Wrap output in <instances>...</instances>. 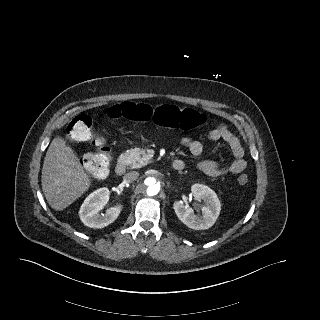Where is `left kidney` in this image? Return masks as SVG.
I'll list each match as a JSON object with an SVG mask.
<instances>
[{"instance_id":"obj_1","label":"left kidney","mask_w":320,"mask_h":320,"mask_svg":"<svg viewBox=\"0 0 320 320\" xmlns=\"http://www.w3.org/2000/svg\"><path fill=\"white\" fill-rule=\"evenodd\" d=\"M191 191L197 201L203 200L205 205L201 208L202 215L194 214V210L182 201H176L173 205L174 211L181 222L194 230H206L214 225L220 211L221 204L217 194L208 186L194 184Z\"/></svg>"}]
</instances>
